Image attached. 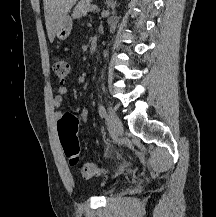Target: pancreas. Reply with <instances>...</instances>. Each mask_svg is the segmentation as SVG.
<instances>
[{
    "mask_svg": "<svg viewBox=\"0 0 216 217\" xmlns=\"http://www.w3.org/2000/svg\"><path fill=\"white\" fill-rule=\"evenodd\" d=\"M91 0H80V2L75 6L72 17L78 19L85 16L91 7Z\"/></svg>",
    "mask_w": 216,
    "mask_h": 217,
    "instance_id": "obj_1",
    "label": "pancreas"
}]
</instances>
